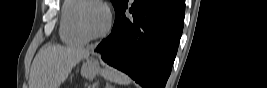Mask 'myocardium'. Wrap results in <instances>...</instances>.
<instances>
[{"label": "myocardium", "mask_w": 267, "mask_h": 88, "mask_svg": "<svg viewBox=\"0 0 267 88\" xmlns=\"http://www.w3.org/2000/svg\"><path fill=\"white\" fill-rule=\"evenodd\" d=\"M89 4H94V5L101 7L105 11L106 16H107V20H106V24L104 28L99 33H96V34H91L86 30L84 23H83V19H82L83 9L86 7V5H89ZM76 21H77L78 29L81 35L85 39L96 40V39H100L104 37L109 32L111 25H112V13L109 7L103 2L97 1V0H88L78 7Z\"/></svg>", "instance_id": "obj_1"}]
</instances>
